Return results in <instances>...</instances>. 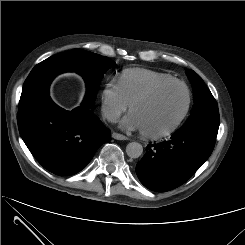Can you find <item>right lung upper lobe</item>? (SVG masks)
I'll return each instance as SVG.
<instances>
[{
	"label": "right lung upper lobe",
	"instance_id": "cb5924a9",
	"mask_svg": "<svg viewBox=\"0 0 245 245\" xmlns=\"http://www.w3.org/2000/svg\"><path fill=\"white\" fill-rule=\"evenodd\" d=\"M61 72L60 69L52 67L50 58H48L33 68L26 79V83H29L38 91L45 92L51 80Z\"/></svg>",
	"mask_w": 245,
	"mask_h": 245
}]
</instances>
